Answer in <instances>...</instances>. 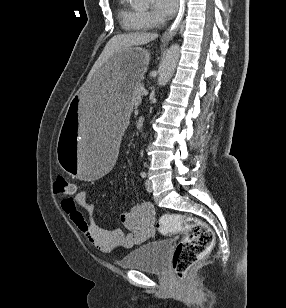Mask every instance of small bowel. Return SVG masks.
<instances>
[{"label": "small bowel", "mask_w": 286, "mask_h": 308, "mask_svg": "<svg viewBox=\"0 0 286 308\" xmlns=\"http://www.w3.org/2000/svg\"><path fill=\"white\" fill-rule=\"evenodd\" d=\"M90 192L81 190L64 198L61 206L87 241L103 252L129 249L142 243L154 233L155 211L151 203L135 201L128 210L120 213L119 220L127 231L120 228H100L91 218ZM85 209L89 216L80 211Z\"/></svg>", "instance_id": "small-bowel-1"}]
</instances>
